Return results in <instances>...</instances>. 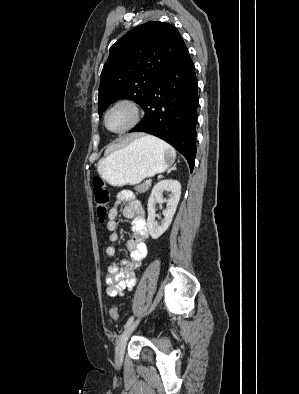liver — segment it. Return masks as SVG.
<instances>
[{"label":"liver","mask_w":299,"mask_h":394,"mask_svg":"<svg viewBox=\"0 0 299 394\" xmlns=\"http://www.w3.org/2000/svg\"><path fill=\"white\" fill-rule=\"evenodd\" d=\"M138 136H140V135L135 134V135L129 136V137L126 138V140L124 141V143H128V142L131 141L133 138H136V137H138Z\"/></svg>","instance_id":"obj_1"}]
</instances>
